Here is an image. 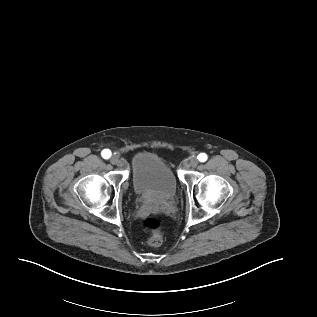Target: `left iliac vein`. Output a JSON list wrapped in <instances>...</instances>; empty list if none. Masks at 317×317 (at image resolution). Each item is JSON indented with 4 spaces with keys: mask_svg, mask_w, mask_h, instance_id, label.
Masks as SVG:
<instances>
[{
    "mask_svg": "<svg viewBox=\"0 0 317 317\" xmlns=\"http://www.w3.org/2000/svg\"><path fill=\"white\" fill-rule=\"evenodd\" d=\"M198 159L196 157H192L188 161L189 167L195 168L198 165Z\"/></svg>",
    "mask_w": 317,
    "mask_h": 317,
    "instance_id": "1",
    "label": "left iliac vein"
}]
</instances>
